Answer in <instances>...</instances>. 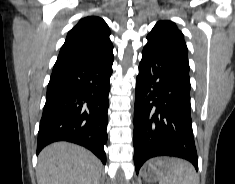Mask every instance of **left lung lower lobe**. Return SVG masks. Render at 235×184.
Listing matches in <instances>:
<instances>
[{"label": "left lung lower lobe", "mask_w": 235, "mask_h": 184, "mask_svg": "<svg viewBox=\"0 0 235 184\" xmlns=\"http://www.w3.org/2000/svg\"><path fill=\"white\" fill-rule=\"evenodd\" d=\"M189 66L173 50L148 42L136 78L133 145L136 173L156 156L190 161L198 170Z\"/></svg>", "instance_id": "0a47b994"}]
</instances>
